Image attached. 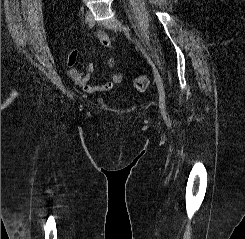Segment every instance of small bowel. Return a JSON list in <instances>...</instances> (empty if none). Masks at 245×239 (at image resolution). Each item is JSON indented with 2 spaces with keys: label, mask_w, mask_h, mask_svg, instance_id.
Segmentation results:
<instances>
[{
  "label": "small bowel",
  "mask_w": 245,
  "mask_h": 239,
  "mask_svg": "<svg viewBox=\"0 0 245 239\" xmlns=\"http://www.w3.org/2000/svg\"><path fill=\"white\" fill-rule=\"evenodd\" d=\"M99 43L107 48L111 47V42L108 36L104 33L98 34ZM78 52L72 50L68 55V70L67 76L81 89L87 93L105 92L113 89L120 84L123 80V74L121 72L112 74L109 79L103 83L93 84L90 82L91 74L94 71L92 63L87 64L84 69L80 70L76 67ZM106 65L109 68H114L116 65L115 59L108 57L106 59Z\"/></svg>",
  "instance_id": "c3829d8e"
}]
</instances>
